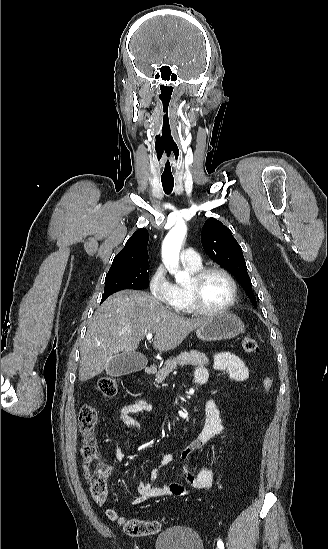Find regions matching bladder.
Instances as JSON below:
<instances>
[{
    "label": "bladder",
    "mask_w": 328,
    "mask_h": 549,
    "mask_svg": "<svg viewBox=\"0 0 328 549\" xmlns=\"http://www.w3.org/2000/svg\"><path fill=\"white\" fill-rule=\"evenodd\" d=\"M155 547L156 549H202V541L197 532L186 527H174L158 535Z\"/></svg>",
    "instance_id": "1"
}]
</instances>
